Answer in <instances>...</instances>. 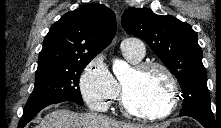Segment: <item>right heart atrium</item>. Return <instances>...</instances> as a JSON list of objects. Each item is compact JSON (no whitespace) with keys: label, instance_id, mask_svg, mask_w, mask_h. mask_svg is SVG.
<instances>
[{"label":"right heart atrium","instance_id":"obj_1","mask_svg":"<svg viewBox=\"0 0 221 128\" xmlns=\"http://www.w3.org/2000/svg\"><path fill=\"white\" fill-rule=\"evenodd\" d=\"M80 92L89 109L104 112L119 92L118 84L102 54L92 57L80 76Z\"/></svg>","mask_w":221,"mask_h":128}]
</instances>
